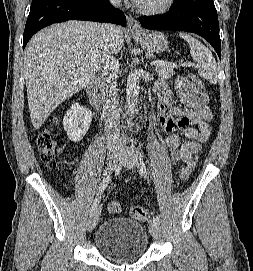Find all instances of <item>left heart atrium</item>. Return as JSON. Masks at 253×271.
I'll use <instances>...</instances> for the list:
<instances>
[{
	"label": "left heart atrium",
	"instance_id": "obj_1",
	"mask_svg": "<svg viewBox=\"0 0 253 271\" xmlns=\"http://www.w3.org/2000/svg\"><path fill=\"white\" fill-rule=\"evenodd\" d=\"M136 5H141L145 0H131Z\"/></svg>",
	"mask_w": 253,
	"mask_h": 271
}]
</instances>
